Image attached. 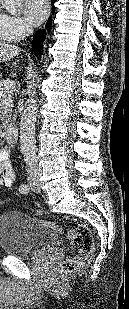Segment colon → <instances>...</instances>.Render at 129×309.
<instances>
[{
    "label": "colon",
    "instance_id": "colon-1",
    "mask_svg": "<svg viewBox=\"0 0 129 309\" xmlns=\"http://www.w3.org/2000/svg\"><path fill=\"white\" fill-rule=\"evenodd\" d=\"M1 203V202H0ZM54 231L64 234L72 243L76 255L66 259L61 266L64 274L73 273L82 269L91 259L94 249V241L91 230L86 225H79L73 229L64 230L62 227L45 222Z\"/></svg>",
    "mask_w": 129,
    "mask_h": 309
}]
</instances>
